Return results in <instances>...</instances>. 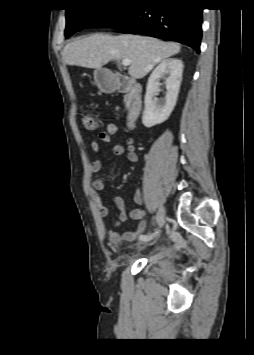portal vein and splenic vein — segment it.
Instances as JSON below:
<instances>
[{
  "label": "portal vein and splenic vein",
  "mask_w": 254,
  "mask_h": 355,
  "mask_svg": "<svg viewBox=\"0 0 254 355\" xmlns=\"http://www.w3.org/2000/svg\"><path fill=\"white\" fill-rule=\"evenodd\" d=\"M121 64H122L123 66H129V65L131 64V60H130V59H123V60L121 61Z\"/></svg>",
  "instance_id": "obj_1"
}]
</instances>
